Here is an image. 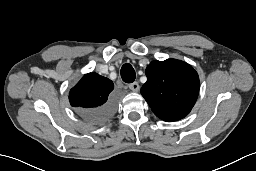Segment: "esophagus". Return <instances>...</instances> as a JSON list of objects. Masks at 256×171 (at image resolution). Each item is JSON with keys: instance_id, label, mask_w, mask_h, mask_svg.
Wrapping results in <instances>:
<instances>
[{"instance_id": "34e87169", "label": "esophagus", "mask_w": 256, "mask_h": 171, "mask_svg": "<svg viewBox=\"0 0 256 171\" xmlns=\"http://www.w3.org/2000/svg\"><path fill=\"white\" fill-rule=\"evenodd\" d=\"M129 88L134 92H138L140 89L139 84L137 82L129 84Z\"/></svg>"}]
</instances>
